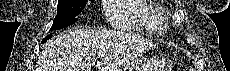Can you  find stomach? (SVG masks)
Listing matches in <instances>:
<instances>
[{"instance_id": "1", "label": "stomach", "mask_w": 230, "mask_h": 71, "mask_svg": "<svg viewBox=\"0 0 230 71\" xmlns=\"http://www.w3.org/2000/svg\"><path fill=\"white\" fill-rule=\"evenodd\" d=\"M170 66V61L166 58H162L159 60V66L153 67L148 66L147 64L137 63V64H129L123 67L120 71H167L168 67Z\"/></svg>"}]
</instances>
